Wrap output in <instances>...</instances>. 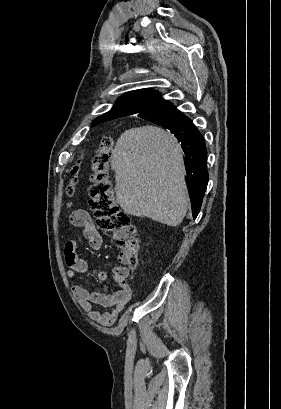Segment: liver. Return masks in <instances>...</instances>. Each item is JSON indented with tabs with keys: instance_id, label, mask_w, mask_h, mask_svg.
I'll return each instance as SVG.
<instances>
[{
	"instance_id": "1",
	"label": "liver",
	"mask_w": 281,
	"mask_h": 409,
	"mask_svg": "<svg viewBox=\"0 0 281 409\" xmlns=\"http://www.w3.org/2000/svg\"><path fill=\"white\" fill-rule=\"evenodd\" d=\"M116 198L125 213L177 227L187 213L188 190L182 150L159 126L129 128L111 158Z\"/></svg>"
}]
</instances>
